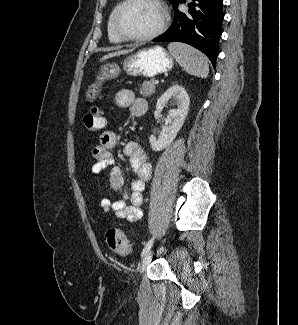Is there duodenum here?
Segmentation results:
<instances>
[{"mask_svg":"<svg viewBox=\"0 0 298 325\" xmlns=\"http://www.w3.org/2000/svg\"><path fill=\"white\" fill-rule=\"evenodd\" d=\"M147 110V106L146 104H140L137 108H136V115L137 116H141L143 114H145Z\"/></svg>","mask_w":298,"mask_h":325,"instance_id":"410a0bca","label":"duodenum"}]
</instances>
